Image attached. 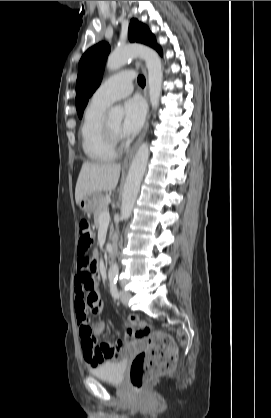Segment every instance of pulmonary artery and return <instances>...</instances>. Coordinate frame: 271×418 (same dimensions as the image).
<instances>
[{"label":"pulmonary artery","instance_id":"obj_1","mask_svg":"<svg viewBox=\"0 0 271 418\" xmlns=\"http://www.w3.org/2000/svg\"><path fill=\"white\" fill-rule=\"evenodd\" d=\"M133 79L134 72L131 70L112 75L95 91L92 102L109 106L113 102L128 96L133 90Z\"/></svg>","mask_w":271,"mask_h":418}]
</instances>
